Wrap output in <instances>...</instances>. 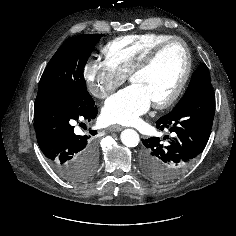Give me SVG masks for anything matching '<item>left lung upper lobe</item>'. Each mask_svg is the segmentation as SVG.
<instances>
[{"label":"left lung upper lobe","mask_w":236,"mask_h":236,"mask_svg":"<svg viewBox=\"0 0 236 236\" xmlns=\"http://www.w3.org/2000/svg\"><path fill=\"white\" fill-rule=\"evenodd\" d=\"M211 86L210 73L205 64H201L193 73L187 91L172 111L179 109L185 102L202 89ZM171 111V112H172Z\"/></svg>","instance_id":"left-lung-upper-lobe-1"}]
</instances>
